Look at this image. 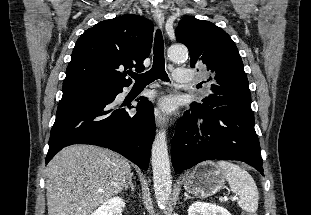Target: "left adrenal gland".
I'll return each mask as SVG.
<instances>
[{
    "instance_id": "1",
    "label": "left adrenal gland",
    "mask_w": 311,
    "mask_h": 215,
    "mask_svg": "<svg viewBox=\"0 0 311 215\" xmlns=\"http://www.w3.org/2000/svg\"><path fill=\"white\" fill-rule=\"evenodd\" d=\"M184 195H185L184 200H187V199H192V197H191V196H189V194L185 193Z\"/></svg>"
}]
</instances>
